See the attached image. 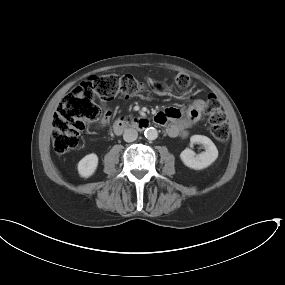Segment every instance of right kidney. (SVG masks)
<instances>
[{"mask_svg": "<svg viewBox=\"0 0 285 285\" xmlns=\"http://www.w3.org/2000/svg\"><path fill=\"white\" fill-rule=\"evenodd\" d=\"M98 166V156L94 153L83 157L78 163V173L81 177L88 178L94 174Z\"/></svg>", "mask_w": 285, "mask_h": 285, "instance_id": "right-kidney-1", "label": "right kidney"}]
</instances>
